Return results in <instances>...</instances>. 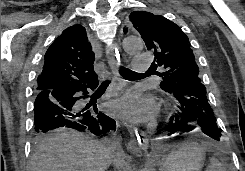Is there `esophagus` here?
Instances as JSON below:
<instances>
[{
  "instance_id": "esophagus-1",
  "label": "esophagus",
  "mask_w": 245,
  "mask_h": 171,
  "mask_svg": "<svg viewBox=\"0 0 245 171\" xmlns=\"http://www.w3.org/2000/svg\"><path fill=\"white\" fill-rule=\"evenodd\" d=\"M107 60L113 72L115 81H120V58L116 57L113 51L107 50ZM127 127L131 137L133 138V142L129 143L128 149L136 153H141V149L146 151L148 147V138L146 136V133L144 131L139 132L138 129L132 125H127Z\"/></svg>"
}]
</instances>
